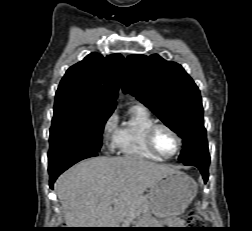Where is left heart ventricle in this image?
<instances>
[{
  "mask_svg": "<svg viewBox=\"0 0 252 231\" xmlns=\"http://www.w3.org/2000/svg\"><path fill=\"white\" fill-rule=\"evenodd\" d=\"M154 143L163 156H170L177 149V141L175 137L164 128H160L156 131Z\"/></svg>",
  "mask_w": 252,
  "mask_h": 231,
  "instance_id": "b2bd125f",
  "label": "left heart ventricle"
}]
</instances>
